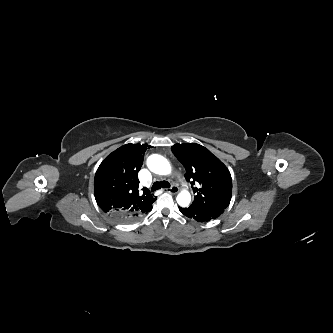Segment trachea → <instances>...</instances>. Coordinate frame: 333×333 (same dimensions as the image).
I'll return each mask as SVG.
<instances>
[{
    "instance_id": "obj_1",
    "label": "trachea",
    "mask_w": 333,
    "mask_h": 333,
    "mask_svg": "<svg viewBox=\"0 0 333 333\" xmlns=\"http://www.w3.org/2000/svg\"><path fill=\"white\" fill-rule=\"evenodd\" d=\"M161 188H170V183L168 181L155 182L151 187V191L153 192Z\"/></svg>"
}]
</instances>
